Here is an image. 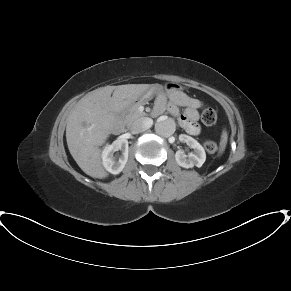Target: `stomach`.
Here are the masks:
<instances>
[{
    "label": "stomach",
    "mask_w": 291,
    "mask_h": 291,
    "mask_svg": "<svg viewBox=\"0 0 291 291\" xmlns=\"http://www.w3.org/2000/svg\"><path fill=\"white\" fill-rule=\"evenodd\" d=\"M170 85H167L166 88H170ZM162 89L161 85L155 84V85H151L148 90L142 95V100H148L151 99L153 97V95H155L156 93H158L160 90Z\"/></svg>",
    "instance_id": "stomach-1"
}]
</instances>
